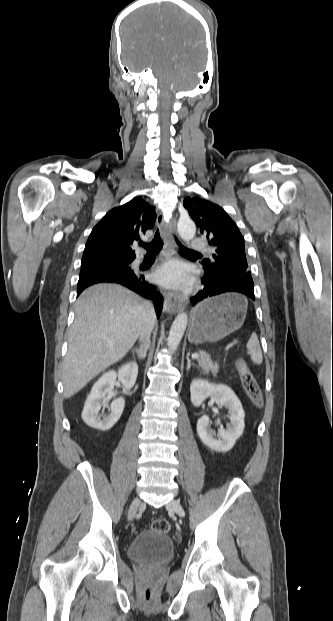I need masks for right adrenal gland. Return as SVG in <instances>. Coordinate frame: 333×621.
<instances>
[{
	"label": "right adrenal gland",
	"mask_w": 333,
	"mask_h": 621,
	"mask_svg": "<svg viewBox=\"0 0 333 621\" xmlns=\"http://www.w3.org/2000/svg\"><path fill=\"white\" fill-rule=\"evenodd\" d=\"M150 347L149 342H146L143 346H141L140 348H133L132 352L136 353L139 357V359L144 360L147 356V351Z\"/></svg>",
	"instance_id": "obj_1"
}]
</instances>
